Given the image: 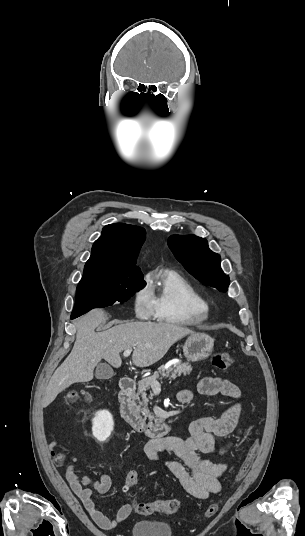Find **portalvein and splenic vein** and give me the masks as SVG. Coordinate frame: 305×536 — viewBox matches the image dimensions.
Here are the masks:
<instances>
[{
  "label": "portal vein and splenic vein",
  "mask_w": 305,
  "mask_h": 536,
  "mask_svg": "<svg viewBox=\"0 0 305 536\" xmlns=\"http://www.w3.org/2000/svg\"><path fill=\"white\" fill-rule=\"evenodd\" d=\"M132 352V348H130V350H125L123 356L124 358H128V356H130ZM177 362H179V360H176L175 364H177ZM151 388H160V384L159 382H151Z\"/></svg>",
  "instance_id": "1"
}]
</instances>
